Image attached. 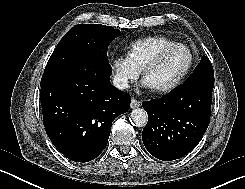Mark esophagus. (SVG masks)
<instances>
[{
    "label": "esophagus",
    "mask_w": 245,
    "mask_h": 189,
    "mask_svg": "<svg viewBox=\"0 0 245 189\" xmlns=\"http://www.w3.org/2000/svg\"><path fill=\"white\" fill-rule=\"evenodd\" d=\"M140 106H141V102H140V101L136 100L135 98H132V99H131L130 107H131L132 109L138 108V107H140Z\"/></svg>",
    "instance_id": "1"
}]
</instances>
